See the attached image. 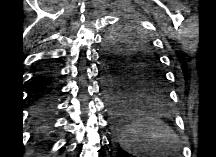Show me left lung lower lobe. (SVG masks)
I'll return each instance as SVG.
<instances>
[{"label":"left lung lower lobe","instance_id":"0a47b994","mask_svg":"<svg viewBox=\"0 0 216 157\" xmlns=\"http://www.w3.org/2000/svg\"><path fill=\"white\" fill-rule=\"evenodd\" d=\"M104 58V89L107 102L112 113L114 129L123 133L130 125L129 116L132 114L131 105L136 97L127 90L119 80L110 75Z\"/></svg>","mask_w":216,"mask_h":157}]
</instances>
